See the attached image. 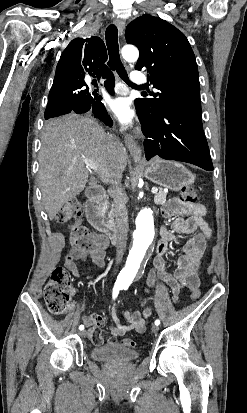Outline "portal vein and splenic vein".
Instances as JSON below:
<instances>
[{
	"instance_id": "18ae733b",
	"label": "portal vein and splenic vein",
	"mask_w": 247,
	"mask_h": 413,
	"mask_svg": "<svg viewBox=\"0 0 247 413\" xmlns=\"http://www.w3.org/2000/svg\"><path fill=\"white\" fill-rule=\"evenodd\" d=\"M84 162L86 166H88V168H93V170H97V166L95 162H93V160H87V158H85ZM151 192H158V188H156V186H153Z\"/></svg>"
}]
</instances>
